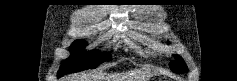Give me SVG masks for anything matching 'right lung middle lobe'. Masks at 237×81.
<instances>
[{"mask_svg":"<svg viewBox=\"0 0 237 81\" xmlns=\"http://www.w3.org/2000/svg\"><path fill=\"white\" fill-rule=\"evenodd\" d=\"M86 42L77 40L71 45L72 55L65 60L59 71L58 76H64L68 73H75L86 69H94L99 64L111 59L109 54L97 53L96 51H84Z\"/></svg>","mask_w":237,"mask_h":81,"instance_id":"right-lung-middle-lobe-1","label":"right lung middle lobe"}]
</instances>
